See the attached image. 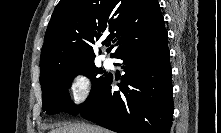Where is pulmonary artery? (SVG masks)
I'll list each match as a JSON object with an SVG mask.
<instances>
[{
  "mask_svg": "<svg viewBox=\"0 0 221 133\" xmlns=\"http://www.w3.org/2000/svg\"><path fill=\"white\" fill-rule=\"evenodd\" d=\"M104 65L107 67V68H112L113 67V60L110 58V57H106L104 59Z\"/></svg>",
  "mask_w": 221,
  "mask_h": 133,
  "instance_id": "pulmonary-artery-1",
  "label": "pulmonary artery"
}]
</instances>
